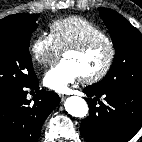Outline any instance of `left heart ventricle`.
Returning <instances> with one entry per match:
<instances>
[{
  "instance_id": "left-heart-ventricle-1",
  "label": "left heart ventricle",
  "mask_w": 142,
  "mask_h": 142,
  "mask_svg": "<svg viewBox=\"0 0 142 142\" xmlns=\"http://www.w3.org/2000/svg\"><path fill=\"white\" fill-rule=\"evenodd\" d=\"M107 57L108 47L103 43L83 53L67 52L64 54V59L70 60L75 64L81 77L99 71L104 66Z\"/></svg>"
}]
</instances>
